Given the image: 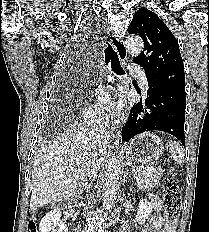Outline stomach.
Wrapping results in <instances>:
<instances>
[{"mask_svg":"<svg viewBox=\"0 0 209 232\" xmlns=\"http://www.w3.org/2000/svg\"><path fill=\"white\" fill-rule=\"evenodd\" d=\"M163 141L152 133H143L128 142L124 151L127 159L142 163L154 162L164 151Z\"/></svg>","mask_w":209,"mask_h":232,"instance_id":"stomach-1","label":"stomach"}]
</instances>
